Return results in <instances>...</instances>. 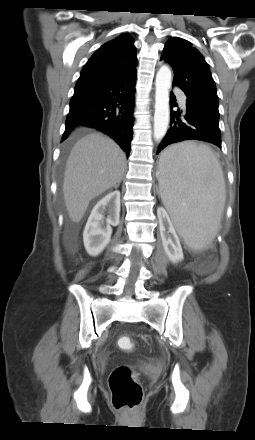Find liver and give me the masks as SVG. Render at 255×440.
I'll return each instance as SVG.
<instances>
[{
    "mask_svg": "<svg viewBox=\"0 0 255 440\" xmlns=\"http://www.w3.org/2000/svg\"><path fill=\"white\" fill-rule=\"evenodd\" d=\"M125 168L126 155L112 139L91 133L78 140L68 157L63 183L71 221L79 223L92 199L121 182Z\"/></svg>",
    "mask_w": 255,
    "mask_h": 440,
    "instance_id": "6515ba94",
    "label": "liver"
}]
</instances>
